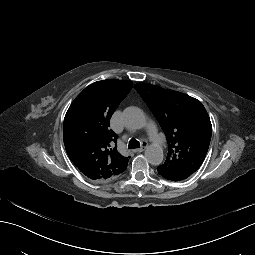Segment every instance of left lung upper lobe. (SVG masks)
Here are the masks:
<instances>
[{
  "label": "left lung upper lobe",
  "mask_w": 255,
  "mask_h": 255,
  "mask_svg": "<svg viewBox=\"0 0 255 255\" xmlns=\"http://www.w3.org/2000/svg\"><path fill=\"white\" fill-rule=\"evenodd\" d=\"M161 125L168 143L160 175L181 181L193 174L207 154L212 125L203 104L186 94L139 83L134 86Z\"/></svg>",
  "instance_id": "5c2ea615"
}]
</instances>
